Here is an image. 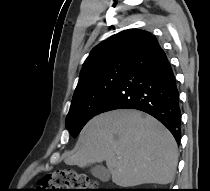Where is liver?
<instances>
[{
  "label": "liver",
  "instance_id": "1",
  "mask_svg": "<svg viewBox=\"0 0 210 191\" xmlns=\"http://www.w3.org/2000/svg\"><path fill=\"white\" fill-rule=\"evenodd\" d=\"M106 161L120 187L172 182L178 163L172 134L137 110H113L92 118L80 133L77 150L65 158L81 168Z\"/></svg>",
  "mask_w": 210,
  "mask_h": 191
}]
</instances>
